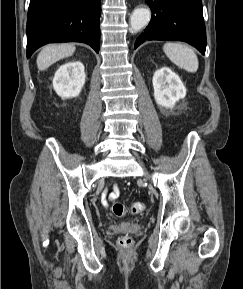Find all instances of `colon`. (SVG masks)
I'll return each mask as SVG.
<instances>
[{
    "label": "colon",
    "mask_w": 243,
    "mask_h": 289,
    "mask_svg": "<svg viewBox=\"0 0 243 289\" xmlns=\"http://www.w3.org/2000/svg\"><path fill=\"white\" fill-rule=\"evenodd\" d=\"M145 204L143 202H135L131 205L129 211L132 214H138L143 212ZM113 213L117 216H123L126 213V209L121 202H114L112 205ZM119 245L123 248H129L132 245V239L129 236H122L119 239Z\"/></svg>",
    "instance_id": "colon-1"
}]
</instances>
